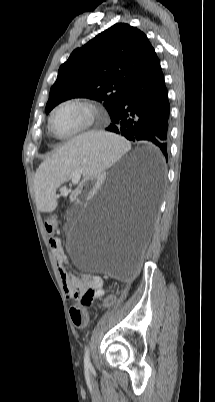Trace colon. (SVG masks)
Segmentation results:
<instances>
[{
  "instance_id": "1",
  "label": "colon",
  "mask_w": 215,
  "mask_h": 402,
  "mask_svg": "<svg viewBox=\"0 0 215 402\" xmlns=\"http://www.w3.org/2000/svg\"><path fill=\"white\" fill-rule=\"evenodd\" d=\"M45 227L46 230L49 234L53 235L56 232L57 229V221L54 216H49L46 218L45 221ZM88 277H91L92 275H87ZM115 297L120 298L123 295L122 290L117 289L114 292ZM93 300V294L91 291L86 293L82 298H80V301L76 303L71 309H70V316L73 324L77 328H83L86 326L87 321H88V314L84 310V308L88 305ZM114 301V296L113 295H108L103 299V306L108 307L110 306Z\"/></svg>"
}]
</instances>
